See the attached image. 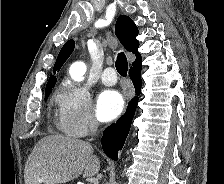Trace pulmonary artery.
<instances>
[{"mask_svg":"<svg viewBox=\"0 0 224 184\" xmlns=\"http://www.w3.org/2000/svg\"><path fill=\"white\" fill-rule=\"evenodd\" d=\"M101 81L106 86L115 85L117 82V75L115 69L112 67L106 68L101 75Z\"/></svg>","mask_w":224,"mask_h":184,"instance_id":"e3ab8cb5","label":"pulmonary artery"}]
</instances>
